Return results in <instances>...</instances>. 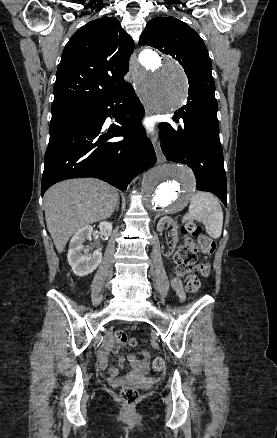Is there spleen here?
Listing matches in <instances>:
<instances>
[{"label": "spleen", "mask_w": 277, "mask_h": 438, "mask_svg": "<svg viewBox=\"0 0 277 438\" xmlns=\"http://www.w3.org/2000/svg\"><path fill=\"white\" fill-rule=\"evenodd\" d=\"M189 214L193 216L194 220L203 222L210 238H220L223 212L217 198H214L212 194L196 192L190 202Z\"/></svg>", "instance_id": "3e777b00"}]
</instances>
